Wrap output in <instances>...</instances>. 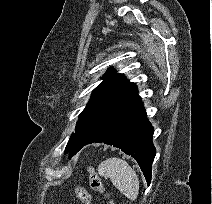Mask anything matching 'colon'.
Segmentation results:
<instances>
[{
    "label": "colon",
    "mask_w": 212,
    "mask_h": 204,
    "mask_svg": "<svg viewBox=\"0 0 212 204\" xmlns=\"http://www.w3.org/2000/svg\"><path fill=\"white\" fill-rule=\"evenodd\" d=\"M89 181L90 186L94 191L104 194L108 199V203L114 204L113 200L110 198V195L106 192V189L104 187L101 178L99 177L95 169L92 167L89 168ZM75 194L82 204H91V195L84 187L80 185L76 186Z\"/></svg>",
    "instance_id": "obj_1"
}]
</instances>
